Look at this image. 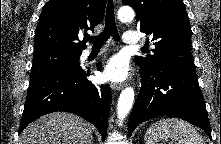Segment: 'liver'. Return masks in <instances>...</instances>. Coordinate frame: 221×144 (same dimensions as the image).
Segmentation results:
<instances>
[{
    "mask_svg": "<svg viewBox=\"0 0 221 144\" xmlns=\"http://www.w3.org/2000/svg\"><path fill=\"white\" fill-rule=\"evenodd\" d=\"M92 129L90 123L77 115L50 113L28 125L19 144H92Z\"/></svg>",
    "mask_w": 221,
    "mask_h": 144,
    "instance_id": "6515ba94",
    "label": "liver"
}]
</instances>
